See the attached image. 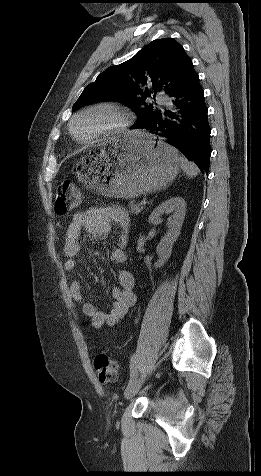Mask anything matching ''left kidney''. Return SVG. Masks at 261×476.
Segmentation results:
<instances>
[{"label":"left kidney","instance_id":"1","mask_svg":"<svg viewBox=\"0 0 261 476\" xmlns=\"http://www.w3.org/2000/svg\"><path fill=\"white\" fill-rule=\"evenodd\" d=\"M170 213H173V218L168 223V231L156 248L159 257L155 263L156 268L162 267L171 256L173 244L180 234L186 214V202L182 197L175 196L162 202L149 216V222L154 225L160 224L161 216Z\"/></svg>","mask_w":261,"mask_h":476}]
</instances>
